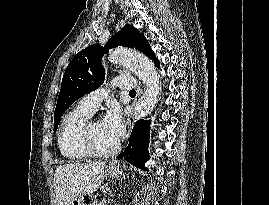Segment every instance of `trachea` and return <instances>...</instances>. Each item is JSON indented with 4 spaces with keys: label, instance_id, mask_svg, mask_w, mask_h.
Returning <instances> with one entry per match:
<instances>
[{
    "label": "trachea",
    "instance_id": "3493384b",
    "mask_svg": "<svg viewBox=\"0 0 269 205\" xmlns=\"http://www.w3.org/2000/svg\"><path fill=\"white\" fill-rule=\"evenodd\" d=\"M129 94H135L136 95V91L135 90H130Z\"/></svg>",
    "mask_w": 269,
    "mask_h": 205
}]
</instances>
